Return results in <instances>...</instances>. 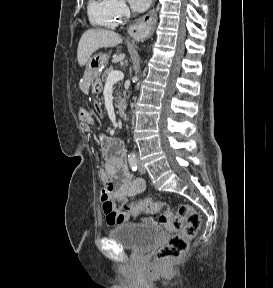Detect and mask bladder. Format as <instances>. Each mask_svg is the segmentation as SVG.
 <instances>
[{"instance_id":"31cf9c89","label":"bladder","mask_w":273,"mask_h":288,"mask_svg":"<svg viewBox=\"0 0 273 288\" xmlns=\"http://www.w3.org/2000/svg\"><path fill=\"white\" fill-rule=\"evenodd\" d=\"M109 237L125 248L143 252L159 241L160 231L150 224L126 223L111 229Z\"/></svg>"}]
</instances>
